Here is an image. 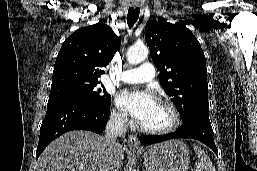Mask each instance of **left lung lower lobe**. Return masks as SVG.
Wrapping results in <instances>:
<instances>
[{"mask_svg": "<svg viewBox=\"0 0 257 171\" xmlns=\"http://www.w3.org/2000/svg\"><path fill=\"white\" fill-rule=\"evenodd\" d=\"M178 138H191L201 141L218 155V150L214 143L213 130L210 120L203 118H192L186 122H182V126L179 127L174 133L161 136H141L140 142L143 145H151L166 140Z\"/></svg>", "mask_w": 257, "mask_h": 171, "instance_id": "1", "label": "left lung lower lobe"}]
</instances>
